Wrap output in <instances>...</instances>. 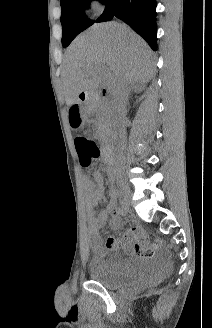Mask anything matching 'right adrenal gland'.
Returning a JSON list of instances; mask_svg holds the SVG:
<instances>
[{
    "label": "right adrenal gland",
    "instance_id": "2a0ac1e0",
    "mask_svg": "<svg viewBox=\"0 0 212 328\" xmlns=\"http://www.w3.org/2000/svg\"><path fill=\"white\" fill-rule=\"evenodd\" d=\"M143 89H144V86H142L138 83H131V85L129 87V91H128V98L132 92L140 93V92H142Z\"/></svg>",
    "mask_w": 212,
    "mask_h": 328
}]
</instances>
